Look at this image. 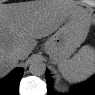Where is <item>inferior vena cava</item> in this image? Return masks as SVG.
<instances>
[{"label": "inferior vena cava", "instance_id": "1", "mask_svg": "<svg viewBox=\"0 0 95 95\" xmlns=\"http://www.w3.org/2000/svg\"><path fill=\"white\" fill-rule=\"evenodd\" d=\"M21 53H22V50H21V49H15V50L13 51V54H14L18 59H22V57H20Z\"/></svg>", "mask_w": 95, "mask_h": 95}]
</instances>
